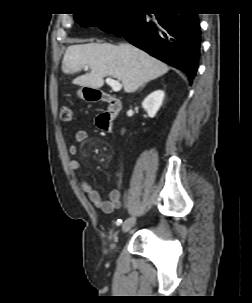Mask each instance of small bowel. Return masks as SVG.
I'll list each match as a JSON object with an SVG mask.
<instances>
[{
    "instance_id": "obj_1",
    "label": "small bowel",
    "mask_w": 252,
    "mask_h": 303,
    "mask_svg": "<svg viewBox=\"0 0 252 303\" xmlns=\"http://www.w3.org/2000/svg\"><path fill=\"white\" fill-rule=\"evenodd\" d=\"M97 126L104 130V125L97 122ZM89 134L85 130L77 131L74 137V142L69 146V154L71 156L69 166L72 172L78 174L80 172V163L74 158L78 152V144L87 141ZM77 182L81 190L87 194L90 203L105 213H111L120 206L121 190L113 189L109 194V200L104 201L100 193L93 187V185L83 176L77 175Z\"/></svg>"
}]
</instances>
